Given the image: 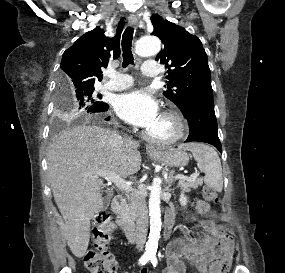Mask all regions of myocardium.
Listing matches in <instances>:
<instances>
[{
	"instance_id": "f54148a6",
	"label": "myocardium",
	"mask_w": 285,
	"mask_h": 273,
	"mask_svg": "<svg viewBox=\"0 0 285 273\" xmlns=\"http://www.w3.org/2000/svg\"><path fill=\"white\" fill-rule=\"evenodd\" d=\"M161 117L170 120L174 125L172 135L165 138H158L150 134L147 130L143 133L146 140L157 145H170L181 140L187 133V122L184 116L175 108H168L162 112Z\"/></svg>"
}]
</instances>
